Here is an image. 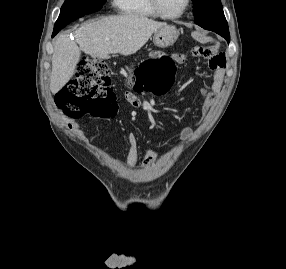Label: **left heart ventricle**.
I'll return each mask as SVG.
<instances>
[{
  "mask_svg": "<svg viewBox=\"0 0 286 269\" xmlns=\"http://www.w3.org/2000/svg\"><path fill=\"white\" fill-rule=\"evenodd\" d=\"M186 0H160L161 7L168 14H177L179 13L184 5Z\"/></svg>",
  "mask_w": 286,
  "mask_h": 269,
  "instance_id": "left-heart-ventricle-1",
  "label": "left heart ventricle"
}]
</instances>
